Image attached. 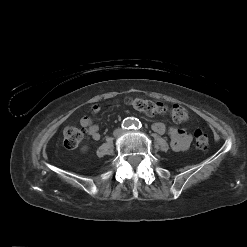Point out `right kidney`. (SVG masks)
<instances>
[{"mask_svg":"<svg viewBox=\"0 0 247 247\" xmlns=\"http://www.w3.org/2000/svg\"><path fill=\"white\" fill-rule=\"evenodd\" d=\"M81 150H82V151H86V150H87V147L84 146Z\"/></svg>","mask_w":247,"mask_h":247,"instance_id":"obj_1","label":"right kidney"}]
</instances>
